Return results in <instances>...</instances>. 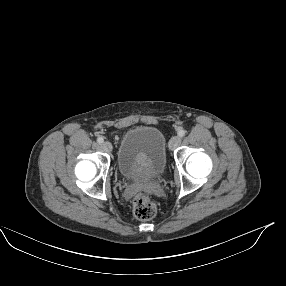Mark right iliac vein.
Returning <instances> with one entry per match:
<instances>
[{"mask_svg": "<svg viewBox=\"0 0 286 286\" xmlns=\"http://www.w3.org/2000/svg\"><path fill=\"white\" fill-rule=\"evenodd\" d=\"M102 149H103L104 151H106V152H111L112 149H113V146H112V144H111L109 141H105V142H103V144H102Z\"/></svg>", "mask_w": 286, "mask_h": 286, "instance_id": "63e3f726", "label": "right iliac vein"}]
</instances>
